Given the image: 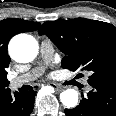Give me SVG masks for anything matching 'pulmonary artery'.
Returning a JSON list of instances; mask_svg holds the SVG:
<instances>
[{"label":"pulmonary artery","instance_id":"obj_1","mask_svg":"<svg viewBox=\"0 0 116 116\" xmlns=\"http://www.w3.org/2000/svg\"><path fill=\"white\" fill-rule=\"evenodd\" d=\"M40 52L44 63L48 64L52 60L54 54L53 43L49 39H43L40 43ZM44 68L45 66H40L23 75L11 79L9 83L10 89L13 91L17 90L19 87L35 80L43 73ZM85 81H87V79H85ZM87 90H90V87H87Z\"/></svg>","mask_w":116,"mask_h":116}]
</instances>
